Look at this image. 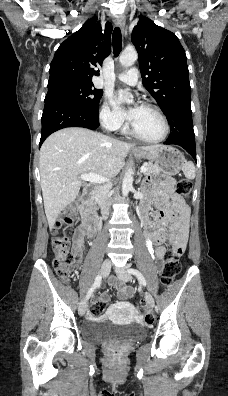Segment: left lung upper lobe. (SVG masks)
<instances>
[{
	"mask_svg": "<svg viewBox=\"0 0 228 396\" xmlns=\"http://www.w3.org/2000/svg\"><path fill=\"white\" fill-rule=\"evenodd\" d=\"M139 54L142 82L166 114L175 117L177 103L191 99V87L185 51L176 35L147 17L141 16L131 35Z\"/></svg>",
	"mask_w": 228,
	"mask_h": 396,
	"instance_id": "left-lung-upper-lobe-1",
	"label": "left lung upper lobe"
}]
</instances>
